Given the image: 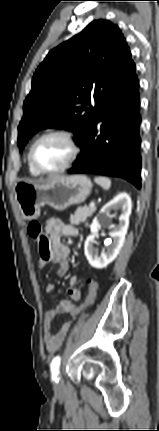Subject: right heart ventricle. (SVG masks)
Returning a JSON list of instances; mask_svg holds the SVG:
<instances>
[{
    "mask_svg": "<svg viewBox=\"0 0 159 431\" xmlns=\"http://www.w3.org/2000/svg\"><path fill=\"white\" fill-rule=\"evenodd\" d=\"M28 170H29V173L31 174V175H33V176H39L40 175V173H38L33 167H32V165L30 164V162H29V159H28Z\"/></svg>",
    "mask_w": 159,
    "mask_h": 431,
    "instance_id": "right-heart-ventricle-1",
    "label": "right heart ventricle"
}]
</instances>
